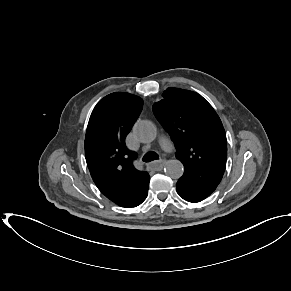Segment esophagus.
<instances>
[{"label": "esophagus", "instance_id": "34e87169", "mask_svg": "<svg viewBox=\"0 0 291 291\" xmlns=\"http://www.w3.org/2000/svg\"><path fill=\"white\" fill-rule=\"evenodd\" d=\"M165 162H166V161L163 160V159H161V160H159V161L152 162V163L150 164V168H151L152 170L159 171V170H161V169L164 167Z\"/></svg>", "mask_w": 291, "mask_h": 291}]
</instances>
